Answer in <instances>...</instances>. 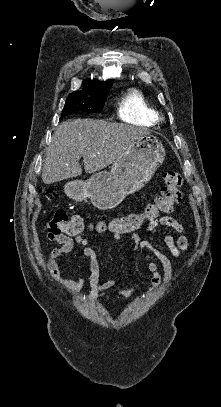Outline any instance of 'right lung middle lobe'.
<instances>
[{
	"label": "right lung middle lobe",
	"instance_id": "1",
	"mask_svg": "<svg viewBox=\"0 0 221 407\" xmlns=\"http://www.w3.org/2000/svg\"><path fill=\"white\" fill-rule=\"evenodd\" d=\"M110 88L95 92H73L69 94L61 117L77 111L99 113L107 98Z\"/></svg>",
	"mask_w": 221,
	"mask_h": 407
}]
</instances>
